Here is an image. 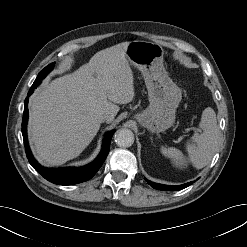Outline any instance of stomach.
Masks as SVG:
<instances>
[{
  "label": "stomach",
  "mask_w": 247,
  "mask_h": 247,
  "mask_svg": "<svg viewBox=\"0 0 247 247\" xmlns=\"http://www.w3.org/2000/svg\"><path fill=\"white\" fill-rule=\"evenodd\" d=\"M163 55L162 46L149 41H132L126 48L127 61L144 76L150 102L146 110L134 117L152 133L161 132L173 125L182 98L181 89L164 68Z\"/></svg>",
  "instance_id": "stomach-1"
}]
</instances>
